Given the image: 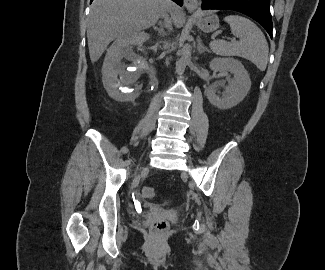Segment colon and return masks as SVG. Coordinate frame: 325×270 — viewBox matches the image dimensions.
<instances>
[{"label": "colon", "instance_id": "colon-1", "mask_svg": "<svg viewBox=\"0 0 325 270\" xmlns=\"http://www.w3.org/2000/svg\"><path fill=\"white\" fill-rule=\"evenodd\" d=\"M142 194L145 199H152L154 198L156 191L152 187H145L143 189ZM168 228H169V223L166 220H158L152 226L153 232L158 234L165 233L168 230Z\"/></svg>", "mask_w": 325, "mask_h": 270}]
</instances>
